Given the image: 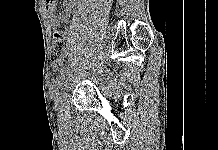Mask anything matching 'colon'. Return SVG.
<instances>
[{
    "label": "colon",
    "mask_w": 218,
    "mask_h": 150,
    "mask_svg": "<svg viewBox=\"0 0 218 150\" xmlns=\"http://www.w3.org/2000/svg\"><path fill=\"white\" fill-rule=\"evenodd\" d=\"M66 45L64 33L56 32L53 39L51 58L53 61H58L62 56Z\"/></svg>",
    "instance_id": "5ec220e1"
}]
</instances>
